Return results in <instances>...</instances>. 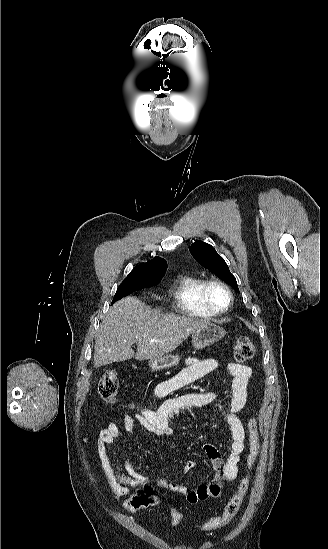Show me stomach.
I'll use <instances>...</instances> for the list:
<instances>
[{"label":"stomach","instance_id":"1","mask_svg":"<svg viewBox=\"0 0 328 549\" xmlns=\"http://www.w3.org/2000/svg\"><path fill=\"white\" fill-rule=\"evenodd\" d=\"M225 335L226 331L223 327H219L217 323H208L205 327H200V329L194 331L192 347L194 349H204V347H209L216 341H220ZM179 361L180 357L178 355H162L157 359H150L148 365L151 371H163V369H169V367H176V365H179Z\"/></svg>","mask_w":328,"mask_h":549}]
</instances>
